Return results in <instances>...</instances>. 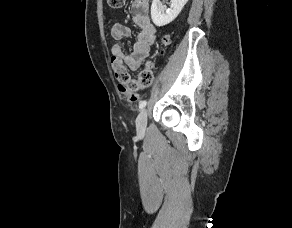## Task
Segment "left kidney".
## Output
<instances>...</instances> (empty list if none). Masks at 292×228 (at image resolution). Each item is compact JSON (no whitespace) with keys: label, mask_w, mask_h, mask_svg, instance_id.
<instances>
[{"label":"left kidney","mask_w":292,"mask_h":228,"mask_svg":"<svg viewBox=\"0 0 292 228\" xmlns=\"http://www.w3.org/2000/svg\"><path fill=\"white\" fill-rule=\"evenodd\" d=\"M188 0H171L170 8L164 9L160 0H153L151 5V18L156 26H164L172 22L181 12Z\"/></svg>","instance_id":"5707ae66"}]
</instances>
